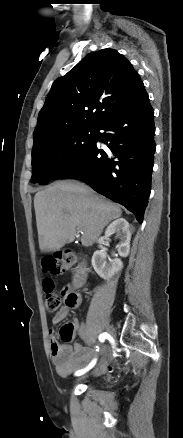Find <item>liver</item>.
<instances>
[{
	"instance_id": "1",
	"label": "liver",
	"mask_w": 183,
	"mask_h": 438,
	"mask_svg": "<svg viewBox=\"0 0 183 438\" xmlns=\"http://www.w3.org/2000/svg\"><path fill=\"white\" fill-rule=\"evenodd\" d=\"M41 252L60 250L82 232L83 246H91L105 226L121 216L120 207L75 180L57 181L34 196Z\"/></svg>"
}]
</instances>
